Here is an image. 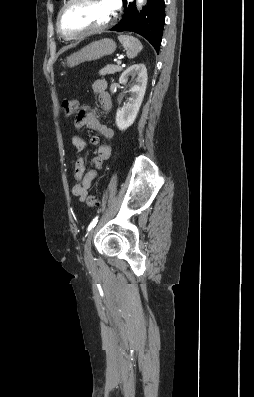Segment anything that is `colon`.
I'll use <instances>...</instances> for the list:
<instances>
[{"label": "colon", "instance_id": "5ec220e1", "mask_svg": "<svg viewBox=\"0 0 254 397\" xmlns=\"http://www.w3.org/2000/svg\"><path fill=\"white\" fill-rule=\"evenodd\" d=\"M79 100L77 98L74 99H69V100H64L62 103V108L65 113V115L70 116L74 114L77 109L79 108ZM98 196L95 194H90L88 195L86 199V203L89 207H95L98 205Z\"/></svg>", "mask_w": 254, "mask_h": 397}]
</instances>
